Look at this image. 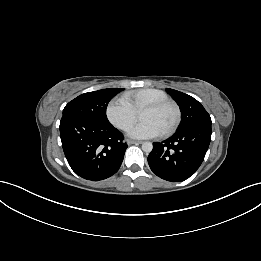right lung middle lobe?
<instances>
[{"mask_svg":"<svg viewBox=\"0 0 261 261\" xmlns=\"http://www.w3.org/2000/svg\"><path fill=\"white\" fill-rule=\"evenodd\" d=\"M124 88H108L84 93L70 101L63 109V115L108 123L106 108L108 102Z\"/></svg>","mask_w":261,"mask_h":261,"instance_id":"dd1d6c3e","label":"right lung middle lobe"}]
</instances>
